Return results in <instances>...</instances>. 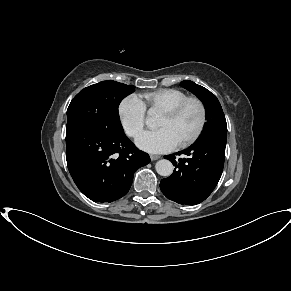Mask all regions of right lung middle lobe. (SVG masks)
<instances>
[{
	"instance_id": "right-lung-middle-lobe-1",
	"label": "right lung middle lobe",
	"mask_w": 291,
	"mask_h": 291,
	"mask_svg": "<svg viewBox=\"0 0 291 291\" xmlns=\"http://www.w3.org/2000/svg\"><path fill=\"white\" fill-rule=\"evenodd\" d=\"M134 90V86L112 80L84 88L67 109V125H82L99 132L122 129L118 106Z\"/></svg>"
}]
</instances>
